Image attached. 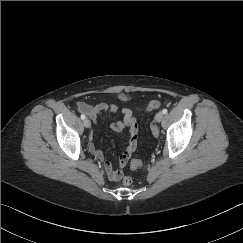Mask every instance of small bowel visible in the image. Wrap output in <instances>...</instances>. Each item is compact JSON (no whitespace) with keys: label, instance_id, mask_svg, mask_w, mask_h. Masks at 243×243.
Masks as SVG:
<instances>
[{"label":"small bowel","instance_id":"small-bowel-1","mask_svg":"<svg viewBox=\"0 0 243 243\" xmlns=\"http://www.w3.org/2000/svg\"><path fill=\"white\" fill-rule=\"evenodd\" d=\"M77 109L87 114L93 120L103 114H112L117 111V106L111 103H100L96 106H89L85 102H79ZM123 119L121 121L112 122L110 128L117 133L128 132L130 136L129 144L123 151L118 161L105 160L104 154L94 143V134L89 136V153L96 159L103 161V167L109 180L118 181L120 179V169L126 165L129 158L136 150L138 145V125L134 114L129 109L122 110Z\"/></svg>","mask_w":243,"mask_h":243}]
</instances>
